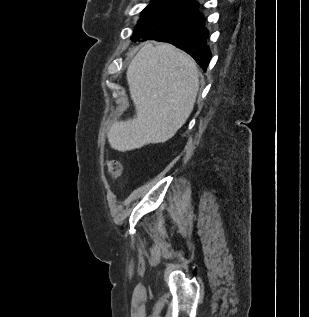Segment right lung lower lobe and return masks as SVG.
<instances>
[{
	"label": "right lung lower lobe",
	"instance_id": "obj_1",
	"mask_svg": "<svg viewBox=\"0 0 309 317\" xmlns=\"http://www.w3.org/2000/svg\"><path fill=\"white\" fill-rule=\"evenodd\" d=\"M194 0H178L144 17L133 32L132 41L168 42L190 54L204 71L211 59L206 41L208 30Z\"/></svg>",
	"mask_w": 309,
	"mask_h": 317
}]
</instances>
